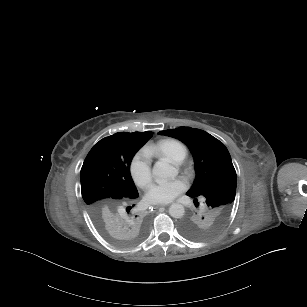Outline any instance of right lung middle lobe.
Masks as SVG:
<instances>
[{
  "label": "right lung middle lobe",
  "instance_id": "right-lung-middle-lobe-1",
  "mask_svg": "<svg viewBox=\"0 0 307 307\" xmlns=\"http://www.w3.org/2000/svg\"><path fill=\"white\" fill-rule=\"evenodd\" d=\"M80 178L85 204L111 196L119 189L117 178L107 168L92 159H85Z\"/></svg>",
  "mask_w": 307,
  "mask_h": 307
}]
</instances>
